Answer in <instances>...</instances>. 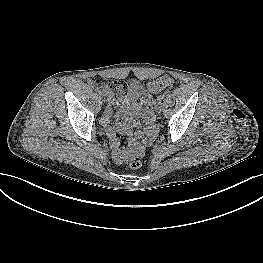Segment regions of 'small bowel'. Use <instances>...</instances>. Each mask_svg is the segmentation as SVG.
<instances>
[{
	"label": "small bowel",
	"instance_id": "1",
	"mask_svg": "<svg viewBox=\"0 0 263 263\" xmlns=\"http://www.w3.org/2000/svg\"><path fill=\"white\" fill-rule=\"evenodd\" d=\"M143 90H141L139 93H137L138 95L142 94Z\"/></svg>",
	"mask_w": 263,
	"mask_h": 263
}]
</instances>
